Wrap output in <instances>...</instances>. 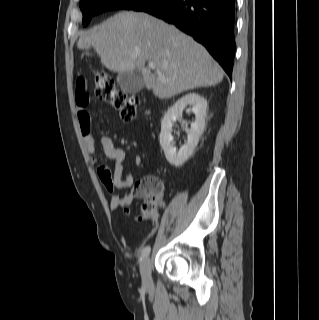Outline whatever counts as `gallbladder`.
I'll return each instance as SVG.
<instances>
[{"instance_id":"bac80fb5","label":"gallbladder","mask_w":319,"mask_h":320,"mask_svg":"<svg viewBox=\"0 0 319 320\" xmlns=\"http://www.w3.org/2000/svg\"><path fill=\"white\" fill-rule=\"evenodd\" d=\"M117 83L126 93H137L143 89V81L137 72L119 73Z\"/></svg>"}]
</instances>
